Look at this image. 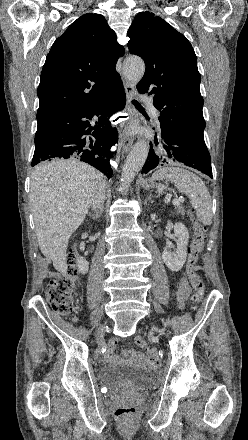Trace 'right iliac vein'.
I'll return each instance as SVG.
<instances>
[{
  "instance_id": "63e3f726",
  "label": "right iliac vein",
  "mask_w": 248,
  "mask_h": 440,
  "mask_svg": "<svg viewBox=\"0 0 248 440\" xmlns=\"http://www.w3.org/2000/svg\"><path fill=\"white\" fill-rule=\"evenodd\" d=\"M103 330H104V327H102L98 330V333H97L98 338H101L103 336Z\"/></svg>"
}]
</instances>
